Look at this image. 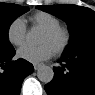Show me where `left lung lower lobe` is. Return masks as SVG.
<instances>
[{
    "label": "left lung lower lobe",
    "instance_id": "0a47b994",
    "mask_svg": "<svg viewBox=\"0 0 95 95\" xmlns=\"http://www.w3.org/2000/svg\"><path fill=\"white\" fill-rule=\"evenodd\" d=\"M54 67V78L45 86L48 95H95V48L64 53Z\"/></svg>",
    "mask_w": 95,
    "mask_h": 95
}]
</instances>
